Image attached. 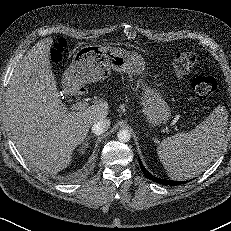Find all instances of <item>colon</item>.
Instances as JSON below:
<instances>
[{"label":"colon","mask_w":231,"mask_h":231,"mask_svg":"<svg viewBox=\"0 0 231 231\" xmlns=\"http://www.w3.org/2000/svg\"><path fill=\"white\" fill-rule=\"evenodd\" d=\"M66 43L60 41L51 50V60L54 63H59L62 60V54L65 51ZM197 62V56L193 52H181L177 54L172 62V70L178 75H184L193 69ZM192 88L196 96L202 100L209 99L216 90L217 84L213 77L206 75H197L192 79Z\"/></svg>","instance_id":"1"}]
</instances>
